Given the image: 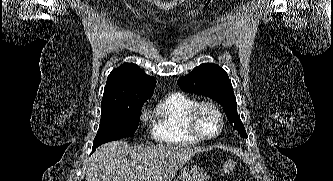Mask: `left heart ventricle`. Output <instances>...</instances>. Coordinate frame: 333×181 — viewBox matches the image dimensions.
Masks as SVG:
<instances>
[{"instance_id":"b2bd125f","label":"left heart ventricle","mask_w":333,"mask_h":181,"mask_svg":"<svg viewBox=\"0 0 333 181\" xmlns=\"http://www.w3.org/2000/svg\"><path fill=\"white\" fill-rule=\"evenodd\" d=\"M198 125L205 135L211 136L218 131L219 120L212 110L205 108L198 116Z\"/></svg>"}]
</instances>
